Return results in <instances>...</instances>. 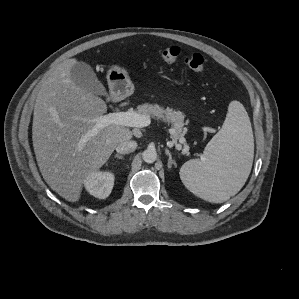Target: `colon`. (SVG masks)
<instances>
[{
  "label": "colon",
  "mask_w": 299,
  "mask_h": 299,
  "mask_svg": "<svg viewBox=\"0 0 299 299\" xmlns=\"http://www.w3.org/2000/svg\"><path fill=\"white\" fill-rule=\"evenodd\" d=\"M181 49L177 46L166 47L160 50V58L167 63H175L181 57ZM184 63L195 72H203L205 60L202 55L195 53L185 58Z\"/></svg>",
  "instance_id": "obj_1"
}]
</instances>
